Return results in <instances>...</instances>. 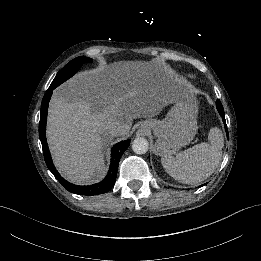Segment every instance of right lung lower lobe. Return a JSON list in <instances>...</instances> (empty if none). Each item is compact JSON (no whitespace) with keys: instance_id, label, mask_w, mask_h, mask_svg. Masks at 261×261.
<instances>
[{"instance_id":"obj_1","label":"right lung lower lobe","mask_w":261,"mask_h":261,"mask_svg":"<svg viewBox=\"0 0 261 261\" xmlns=\"http://www.w3.org/2000/svg\"><path fill=\"white\" fill-rule=\"evenodd\" d=\"M53 90L54 89H48L43 97L41 103V115H40V122H39V137L42 143L43 155L47 167L52 172V174L56 177V179L60 182V184L64 186L69 192L78 195H85V196H94V195L104 194L108 192L115 184L120 158L122 157L125 150L129 147L130 140L121 141L113 146L111 150L110 167L107 175L102 181L86 186L75 185L66 181L64 178L61 177V175L56 170L52 162L49 148L47 145V140H46L47 110H48V105Z\"/></svg>"}]
</instances>
